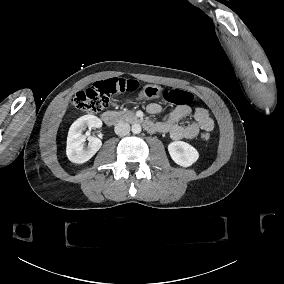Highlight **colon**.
I'll list each match as a JSON object with an SVG mask.
<instances>
[{"label":"colon","instance_id":"obj_1","mask_svg":"<svg viewBox=\"0 0 284 284\" xmlns=\"http://www.w3.org/2000/svg\"><path fill=\"white\" fill-rule=\"evenodd\" d=\"M139 87V81L119 77L108 78L97 82L94 86L77 92L73 101L75 107L82 112L95 113L105 108L109 97L121 92H134ZM164 99L173 107H186L191 104L193 95L186 88L171 87L166 90ZM204 139H209L208 133H203Z\"/></svg>","mask_w":284,"mask_h":284}]
</instances>
